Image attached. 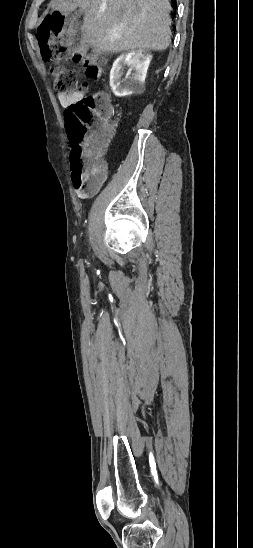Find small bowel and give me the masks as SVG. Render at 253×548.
I'll return each instance as SVG.
<instances>
[{"instance_id": "obj_1", "label": "small bowel", "mask_w": 253, "mask_h": 548, "mask_svg": "<svg viewBox=\"0 0 253 548\" xmlns=\"http://www.w3.org/2000/svg\"><path fill=\"white\" fill-rule=\"evenodd\" d=\"M58 98L61 105L70 106L71 104L81 100L83 98V93L77 92L70 95L59 94ZM106 178H107V170L105 169L102 176L96 181H94L93 183L88 185H81V186L74 185L77 196L81 199H86L93 196L102 187Z\"/></svg>"}]
</instances>
